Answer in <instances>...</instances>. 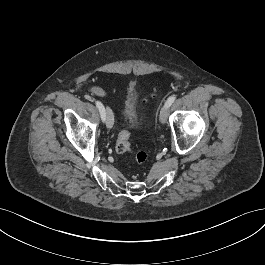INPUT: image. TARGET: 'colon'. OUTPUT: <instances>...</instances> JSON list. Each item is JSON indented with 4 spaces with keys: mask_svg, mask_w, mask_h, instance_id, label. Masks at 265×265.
<instances>
[{
    "mask_svg": "<svg viewBox=\"0 0 265 265\" xmlns=\"http://www.w3.org/2000/svg\"><path fill=\"white\" fill-rule=\"evenodd\" d=\"M116 151L121 154L132 151L129 141V133L126 130H122L118 135L116 141ZM133 159L137 165H142L147 161L148 154L145 151H136L133 153Z\"/></svg>",
    "mask_w": 265,
    "mask_h": 265,
    "instance_id": "1",
    "label": "colon"
}]
</instances>
